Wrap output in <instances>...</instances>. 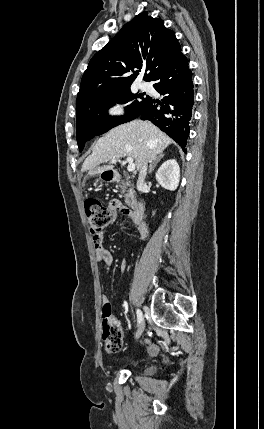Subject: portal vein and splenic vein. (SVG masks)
<instances>
[{
	"mask_svg": "<svg viewBox=\"0 0 264 429\" xmlns=\"http://www.w3.org/2000/svg\"><path fill=\"white\" fill-rule=\"evenodd\" d=\"M126 160L128 161L127 170H128L129 172L134 171V170H135V168H136V165H135V163L133 162V158L128 156V157L126 158ZM111 162H112V163H116V162H117V159H113V160H111Z\"/></svg>",
	"mask_w": 264,
	"mask_h": 429,
	"instance_id": "obj_1",
	"label": "portal vein and splenic vein"
}]
</instances>
